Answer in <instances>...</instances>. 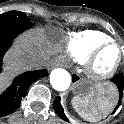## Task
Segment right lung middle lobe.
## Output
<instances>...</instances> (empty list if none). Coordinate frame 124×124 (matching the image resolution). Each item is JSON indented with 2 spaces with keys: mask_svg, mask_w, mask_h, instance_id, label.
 <instances>
[{
  "mask_svg": "<svg viewBox=\"0 0 124 124\" xmlns=\"http://www.w3.org/2000/svg\"><path fill=\"white\" fill-rule=\"evenodd\" d=\"M29 18L24 12L20 11H9L3 14H0V22H11V23H22L28 22Z\"/></svg>",
  "mask_w": 124,
  "mask_h": 124,
  "instance_id": "obj_1",
  "label": "right lung middle lobe"
}]
</instances>
